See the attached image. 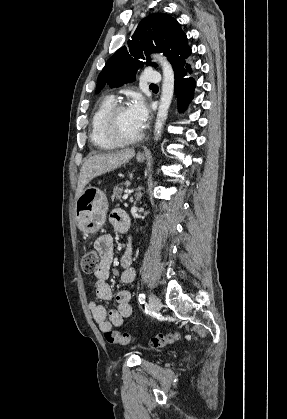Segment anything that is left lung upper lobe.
<instances>
[{"label":"left lung upper lobe","mask_w":287,"mask_h":419,"mask_svg":"<svg viewBox=\"0 0 287 419\" xmlns=\"http://www.w3.org/2000/svg\"><path fill=\"white\" fill-rule=\"evenodd\" d=\"M129 51L122 47L108 60L98 77L95 93L105 85L118 87L134 80L139 68L146 65L156 66L148 58L150 52H160L167 56L174 71L185 66V59L191 54L187 36L180 24L168 14L155 13L144 18L128 42ZM147 56V62L139 61Z\"/></svg>","instance_id":"left-lung-upper-lobe-1"}]
</instances>
